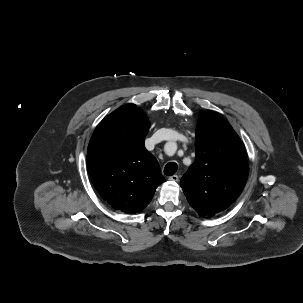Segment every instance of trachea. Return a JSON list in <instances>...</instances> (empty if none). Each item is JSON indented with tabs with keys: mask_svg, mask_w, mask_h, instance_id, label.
I'll use <instances>...</instances> for the list:
<instances>
[{
	"mask_svg": "<svg viewBox=\"0 0 303 303\" xmlns=\"http://www.w3.org/2000/svg\"><path fill=\"white\" fill-rule=\"evenodd\" d=\"M177 169H178V165L175 162H170V163L166 164V166L164 168V174L167 176H172L175 174Z\"/></svg>",
	"mask_w": 303,
	"mask_h": 303,
	"instance_id": "trachea-1",
	"label": "trachea"
}]
</instances>
